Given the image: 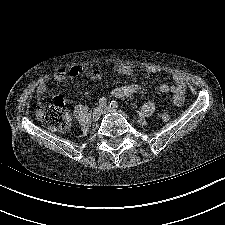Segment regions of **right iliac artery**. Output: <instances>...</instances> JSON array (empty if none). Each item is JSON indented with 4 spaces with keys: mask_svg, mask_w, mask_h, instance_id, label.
<instances>
[{
    "mask_svg": "<svg viewBox=\"0 0 225 225\" xmlns=\"http://www.w3.org/2000/svg\"><path fill=\"white\" fill-rule=\"evenodd\" d=\"M100 106H105L107 104V99L102 97L99 99Z\"/></svg>",
    "mask_w": 225,
    "mask_h": 225,
    "instance_id": "right-iliac-artery-1",
    "label": "right iliac artery"
}]
</instances>
